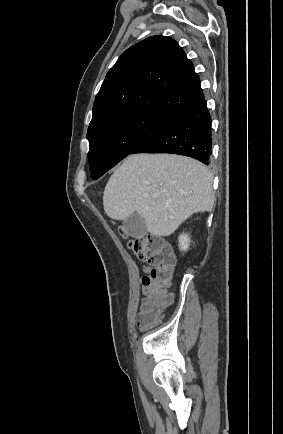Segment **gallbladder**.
<instances>
[{
	"instance_id": "obj_1",
	"label": "gallbladder",
	"mask_w": 283,
	"mask_h": 434,
	"mask_svg": "<svg viewBox=\"0 0 283 434\" xmlns=\"http://www.w3.org/2000/svg\"><path fill=\"white\" fill-rule=\"evenodd\" d=\"M123 230L134 238H142L148 232L144 218L137 213L132 214L123 221Z\"/></svg>"
}]
</instances>
